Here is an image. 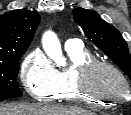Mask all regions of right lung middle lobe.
<instances>
[{
	"label": "right lung middle lobe",
	"instance_id": "1",
	"mask_svg": "<svg viewBox=\"0 0 131 115\" xmlns=\"http://www.w3.org/2000/svg\"><path fill=\"white\" fill-rule=\"evenodd\" d=\"M26 50L13 53L7 60H0V101L21 97L22 92L17 83L19 60Z\"/></svg>",
	"mask_w": 131,
	"mask_h": 115
}]
</instances>
